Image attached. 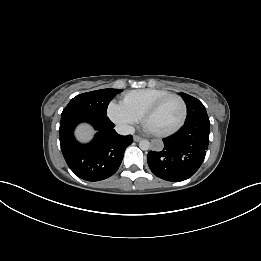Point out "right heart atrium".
I'll list each match as a JSON object with an SVG mask.
<instances>
[{
  "label": "right heart atrium",
  "instance_id": "right-heart-atrium-1",
  "mask_svg": "<svg viewBox=\"0 0 261 261\" xmlns=\"http://www.w3.org/2000/svg\"><path fill=\"white\" fill-rule=\"evenodd\" d=\"M109 118L125 129H131L139 118L129 111L121 102L112 101L107 109Z\"/></svg>",
  "mask_w": 261,
  "mask_h": 261
}]
</instances>
